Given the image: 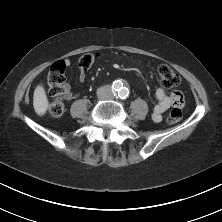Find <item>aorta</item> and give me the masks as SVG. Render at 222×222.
<instances>
[{
  "mask_svg": "<svg viewBox=\"0 0 222 222\" xmlns=\"http://www.w3.org/2000/svg\"><path fill=\"white\" fill-rule=\"evenodd\" d=\"M114 87L118 93V95L122 98H125L129 91L126 87H123V85L120 82H115Z\"/></svg>",
  "mask_w": 222,
  "mask_h": 222,
  "instance_id": "762f6f07",
  "label": "aorta"
}]
</instances>
